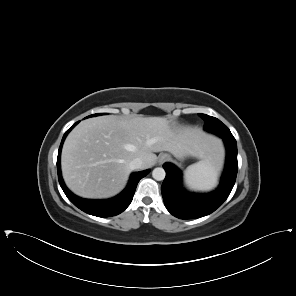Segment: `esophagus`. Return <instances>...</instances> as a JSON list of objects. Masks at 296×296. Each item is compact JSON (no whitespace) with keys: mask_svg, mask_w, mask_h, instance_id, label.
I'll return each mask as SVG.
<instances>
[{"mask_svg":"<svg viewBox=\"0 0 296 296\" xmlns=\"http://www.w3.org/2000/svg\"><path fill=\"white\" fill-rule=\"evenodd\" d=\"M168 158H169V156H168L167 154H161V155H159V157H158V162L161 164V163L167 161Z\"/></svg>","mask_w":296,"mask_h":296,"instance_id":"1","label":"esophagus"}]
</instances>
